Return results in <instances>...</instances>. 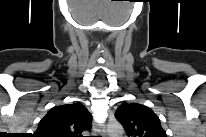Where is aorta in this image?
<instances>
[{
    "mask_svg": "<svg viewBox=\"0 0 206 137\" xmlns=\"http://www.w3.org/2000/svg\"><path fill=\"white\" fill-rule=\"evenodd\" d=\"M110 137H120L123 134V127L120 123H111L107 128Z\"/></svg>",
    "mask_w": 206,
    "mask_h": 137,
    "instance_id": "obj_1",
    "label": "aorta"
}]
</instances>
